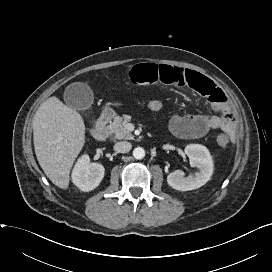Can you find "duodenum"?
<instances>
[{"instance_id": "obj_1", "label": "duodenum", "mask_w": 272, "mask_h": 272, "mask_svg": "<svg viewBox=\"0 0 272 272\" xmlns=\"http://www.w3.org/2000/svg\"><path fill=\"white\" fill-rule=\"evenodd\" d=\"M113 117L111 110H105L90 129L91 136L97 141H105L108 137L107 124Z\"/></svg>"}]
</instances>
